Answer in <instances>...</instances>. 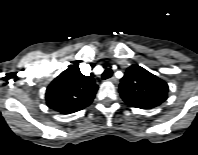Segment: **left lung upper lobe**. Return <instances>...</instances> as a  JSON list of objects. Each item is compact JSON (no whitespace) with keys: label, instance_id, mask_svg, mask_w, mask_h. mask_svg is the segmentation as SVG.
Returning <instances> with one entry per match:
<instances>
[{"label":"left lung upper lobe","instance_id":"5c2ea615","mask_svg":"<svg viewBox=\"0 0 198 155\" xmlns=\"http://www.w3.org/2000/svg\"><path fill=\"white\" fill-rule=\"evenodd\" d=\"M119 88L122 99L136 108H153L167 99L168 85L138 65L127 69Z\"/></svg>","mask_w":198,"mask_h":155}]
</instances>
